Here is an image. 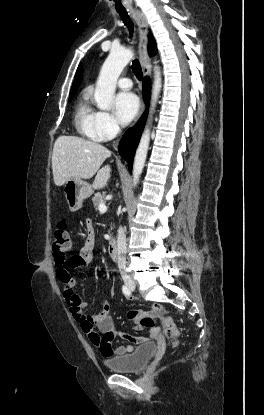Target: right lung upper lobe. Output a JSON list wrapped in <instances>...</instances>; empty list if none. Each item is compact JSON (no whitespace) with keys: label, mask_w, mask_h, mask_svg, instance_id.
Instances as JSON below:
<instances>
[{"label":"right lung upper lobe","mask_w":264,"mask_h":415,"mask_svg":"<svg viewBox=\"0 0 264 415\" xmlns=\"http://www.w3.org/2000/svg\"><path fill=\"white\" fill-rule=\"evenodd\" d=\"M148 52H149L150 56L155 55L157 53L156 42H155L152 35H149ZM81 69H82V66L80 64L77 71H76L75 79H74L73 85H72L71 90H70V96L75 95L76 90H77L78 86L80 85V82H81Z\"/></svg>","instance_id":"cb5924a9"}]
</instances>
